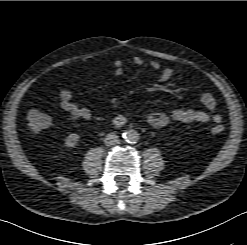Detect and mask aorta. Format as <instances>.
<instances>
[{
	"instance_id": "1",
	"label": "aorta",
	"mask_w": 247,
	"mask_h": 245,
	"mask_svg": "<svg viewBox=\"0 0 247 245\" xmlns=\"http://www.w3.org/2000/svg\"><path fill=\"white\" fill-rule=\"evenodd\" d=\"M123 138L131 143L138 141L139 133L133 129L127 130L122 134Z\"/></svg>"
}]
</instances>
